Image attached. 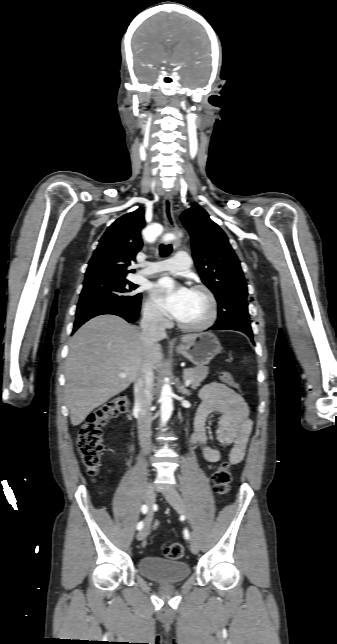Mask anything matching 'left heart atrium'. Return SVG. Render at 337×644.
I'll use <instances>...</instances> for the list:
<instances>
[{"label": "left heart atrium", "instance_id": "39dd6f15", "mask_svg": "<svg viewBox=\"0 0 337 644\" xmlns=\"http://www.w3.org/2000/svg\"><path fill=\"white\" fill-rule=\"evenodd\" d=\"M190 290L177 285L170 278H162L153 285V295L157 306L167 315L178 318L188 299Z\"/></svg>", "mask_w": 337, "mask_h": 644}]
</instances>
